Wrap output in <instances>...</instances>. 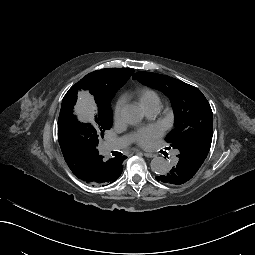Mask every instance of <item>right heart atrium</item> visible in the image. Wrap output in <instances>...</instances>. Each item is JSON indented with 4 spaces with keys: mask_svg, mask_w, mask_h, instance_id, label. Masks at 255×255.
<instances>
[{
    "mask_svg": "<svg viewBox=\"0 0 255 255\" xmlns=\"http://www.w3.org/2000/svg\"><path fill=\"white\" fill-rule=\"evenodd\" d=\"M125 101L124 99H119L115 105L114 108V118L116 121L120 120L121 118V114H122V110L124 107Z\"/></svg>",
    "mask_w": 255,
    "mask_h": 255,
    "instance_id": "1",
    "label": "right heart atrium"
}]
</instances>
